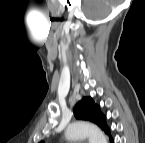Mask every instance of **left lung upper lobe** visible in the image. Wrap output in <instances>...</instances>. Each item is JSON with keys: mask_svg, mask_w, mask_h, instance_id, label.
<instances>
[{"mask_svg": "<svg viewBox=\"0 0 145 143\" xmlns=\"http://www.w3.org/2000/svg\"><path fill=\"white\" fill-rule=\"evenodd\" d=\"M74 115L77 119L96 123L102 130L109 134L105 116L100 112L99 106L95 105L90 97H84L78 102L74 108Z\"/></svg>", "mask_w": 145, "mask_h": 143, "instance_id": "obj_1", "label": "left lung upper lobe"}]
</instances>
